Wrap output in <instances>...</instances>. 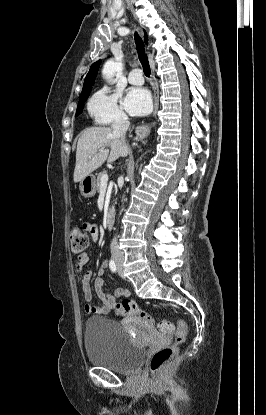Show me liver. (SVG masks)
<instances>
[{
  "label": "liver",
  "mask_w": 266,
  "mask_h": 415,
  "mask_svg": "<svg viewBox=\"0 0 266 415\" xmlns=\"http://www.w3.org/2000/svg\"><path fill=\"white\" fill-rule=\"evenodd\" d=\"M107 147H110V152ZM127 153L128 146L113 134L111 128L90 127L85 129L77 143L74 182H81L106 160L112 163Z\"/></svg>",
  "instance_id": "obj_1"
}]
</instances>
